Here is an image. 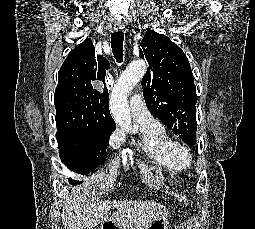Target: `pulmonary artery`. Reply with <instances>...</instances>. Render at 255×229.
Wrapping results in <instances>:
<instances>
[{"label":"pulmonary artery","instance_id":"1","mask_svg":"<svg viewBox=\"0 0 255 229\" xmlns=\"http://www.w3.org/2000/svg\"><path fill=\"white\" fill-rule=\"evenodd\" d=\"M130 109L134 121L139 125L155 127L158 121L148 112L140 94H133L130 98Z\"/></svg>","mask_w":255,"mask_h":229}]
</instances>
